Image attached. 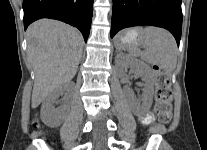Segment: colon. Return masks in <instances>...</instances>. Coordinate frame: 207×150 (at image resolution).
I'll use <instances>...</instances> for the list:
<instances>
[{
	"label": "colon",
	"mask_w": 207,
	"mask_h": 150,
	"mask_svg": "<svg viewBox=\"0 0 207 150\" xmlns=\"http://www.w3.org/2000/svg\"><path fill=\"white\" fill-rule=\"evenodd\" d=\"M156 72L155 112L159 122L168 124L172 115V89L170 75L158 66ZM37 126V121L33 122Z\"/></svg>",
	"instance_id": "1"
}]
</instances>
